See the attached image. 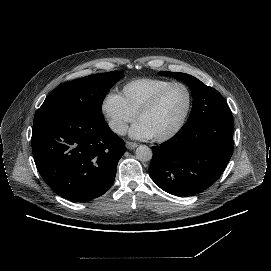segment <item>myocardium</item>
Masks as SVG:
<instances>
[{"instance_id": "f54148a6", "label": "myocardium", "mask_w": 271, "mask_h": 271, "mask_svg": "<svg viewBox=\"0 0 271 271\" xmlns=\"http://www.w3.org/2000/svg\"><path fill=\"white\" fill-rule=\"evenodd\" d=\"M177 85H181V86L185 87L186 90L188 91V94H189L188 108L186 110V113H185L184 117L180 121V123L172 131H170L169 133H167L165 135H161V136H158V137H152V140H154L155 142L163 143V142L170 141L173 138H175L183 130V128L187 124V122H188V120H189V118L191 116V113L193 111V108H194L195 96H194V92H193L192 88L187 83H185V82H182V81H172L167 86H165L164 88H162L151 99V101L141 109V111L137 115V120H140L144 116H146L149 113H151L152 111H154L157 108V106L160 104L161 100L166 95V93L171 88H173V87H175Z\"/></svg>"}]
</instances>
